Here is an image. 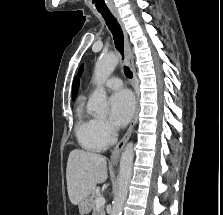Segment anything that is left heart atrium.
Here are the masks:
<instances>
[{
    "label": "left heart atrium",
    "mask_w": 223,
    "mask_h": 215,
    "mask_svg": "<svg viewBox=\"0 0 223 215\" xmlns=\"http://www.w3.org/2000/svg\"><path fill=\"white\" fill-rule=\"evenodd\" d=\"M110 120L116 127H122L129 121L133 109L134 99L127 90L115 92L110 98Z\"/></svg>",
    "instance_id": "obj_1"
}]
</instances>
